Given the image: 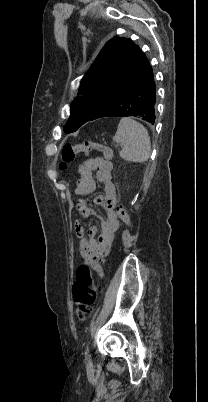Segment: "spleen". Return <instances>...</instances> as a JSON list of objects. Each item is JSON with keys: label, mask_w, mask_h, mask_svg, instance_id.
Segmentation results:
<instances>
[{"label": "spleen", "mask_w": 208, "mask_h": 402, "mask_svg": "<svg viewBox=\"0 0 208 402\" xmlns=\"http://www.w3.org/2000/svg\"><path fill=\"white\" fill-rule=\"evenodd\" d=\"M113 140L120 144L119 154L126 162H147L150 158L149 134L142 124H138L131 118L120 120Z\"/></svg>", "instance_id": "1"}]
</instances>
